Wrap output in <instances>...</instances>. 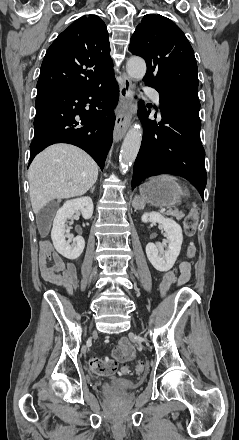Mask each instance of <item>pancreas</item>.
I'll list each match as a JSON object with an SVG mask.
<instances>
[{
	"label": "pancreas",
	"instance_id": "1",
	"mask_svg": "<svg viewBox=\"0 0 239 440\" xmlns=\"http://www.w3.org/2000/svg\"><path fill=\"white\" fill-rule=\"evenodd\" d=\"M168 216H175L177 220H182V218H184V214H182V212H178V210H169Z\"/></svg>",
	"mask_w": 239,
	"mask_h": 440
}]
</instances>
